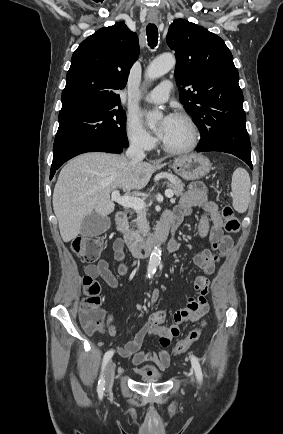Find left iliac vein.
Masks as SVG:
<instances>
[{
	"mask_svg": "<svg viewBox=\"0 0 283 434\" xmlns=\"http://www.w3.org/2000/svg\"><path fill=\"white\" fill-rule=\"evenodd\" d=\"M189 376H190V380H191V382L193 383V382H194V377H193V373H192V372H190V373H189Z\"/></svg>",
	"mask_w": 283,
	"mask_h": 434,
	"instance_id": "1",
	"label": "left iliac vein"
}]
</instances>
